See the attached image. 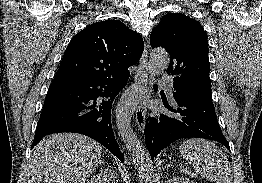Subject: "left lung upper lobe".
I'll use <instances>...</instances> for the list:
<instances>
[{
    "mask_svg": "<svg viewBox=\"0 0 262 183\" xmlns=\"http://www.w3.org/2000/svg\"><path fill=\"white\" fill-rule=\"evenodd\" d=\"M150 43L170 54L167 73L174 75L175 92L212 99L207 35L198 21L179 13L166 14L153 29Z\"/></svg>",
    "mask_w": 262,
    "mask_h": 183,
    "instance_id": "5c2ea615",
    "label": "left lung upper lobe"
}]
</instances>
